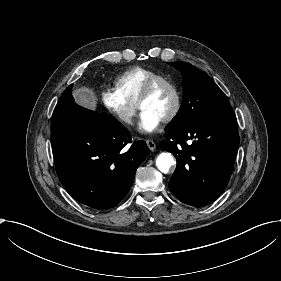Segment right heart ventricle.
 Here are the masks:
<instances>
[{
  "instance_id": "1",
  "label": "right heart ventricle",
  "mask_w": 281,
  "mask_h": 281,
  "mask_svg": "<svg viewBox=\"0 0 281 281\" xmlns=\"http://www.w3.org/2000/svg\"><path fill=\"white\" fill-rule=\"evenodd\" d=\"M157 76L163 75L150 68L133 67L116 78V90L126 101L137 105L138 98L147 82Z\"/></svg>"
}]
</instances>
